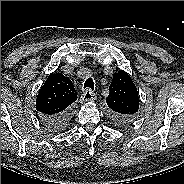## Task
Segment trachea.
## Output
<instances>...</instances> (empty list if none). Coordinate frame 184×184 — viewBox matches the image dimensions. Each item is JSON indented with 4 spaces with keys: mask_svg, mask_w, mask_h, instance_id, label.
<instances>
[{
    "mask_svg": "<svg viewBox=\"0 0 184 184\" xmlns=\"http://www.w3.org/2000/svg\"><path fill=\"white\" fill-rule=\"evenodd\" d=\"M85 88H90L91 90H94V82H93L92 78L86 79V81L84 83V89Z\"/></svg>",
    "mask_w": 184,
    "mask_h": 184,
    "instance_id": "trachea-1",
    "label": "trachea"
}]
</instances>
